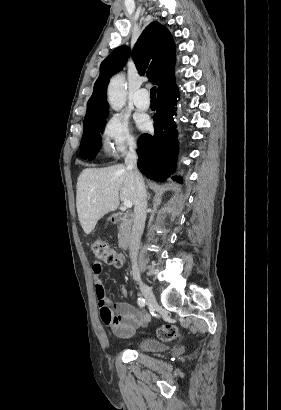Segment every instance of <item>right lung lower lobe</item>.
<instances>
[{
    "label": "right lung lower lobe",
    "mask_w": 281,
    "mask_h": 410,
    "mask_svg": "<svg viewBox=\"0 0 281 410\" xmlns=\"http://www.w3.org/2000/svg\"><path fill=\"white\" fill-rule=\"evenodd\" d=\"M178 97L175 84L158 92L157 110L153 116L154 135L143 134L138 139V168L145 176L156 181H165L174 171L178 132L173 116L176 115Z\"/></svg>",
    "instance_id": "right-lung-lower-lobe-1"
}]
</instances>
